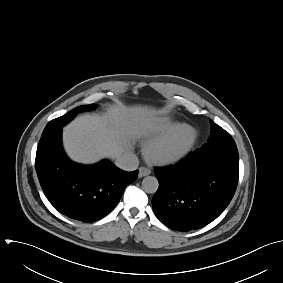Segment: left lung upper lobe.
<instances>
[{"label": "left lung upper lobe", "instance_id": "left-lung-upper-lobe-1", "mask_svg": "<svg viewBox=\"0 0 283 283\" xmlns=\"http://www.w3.org/2000/svg\"><path fill=\"white\" fill-rule=\"evenodd\" d=\"M211 134L201 148L195 153L199 156H214L239 161L235 141L227 131L210 120Z\"/></svg>", "mask_w": 283, "mask_h": 283}]
</instances>
